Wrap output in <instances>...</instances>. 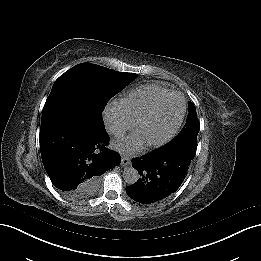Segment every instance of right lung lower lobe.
<instances>
[{
    "label": "right lung lower lobe",
    "instance_id": "obj_1",
    "mask_svg": "<svg viewBox=\"0 0 261 261\" xmlns=\"http://www.w3.org/2000/svg\"><path fill=\"white\" fill-rule=\"evenodd\" d=\"M101 112L59 96L48 97L42 111L40 151L52 184L68 195H78L85 186L121 162L108 150Z\"/></svg>",
    "mask_w": 261,
    "mask_h": 261
}]
</instances>
